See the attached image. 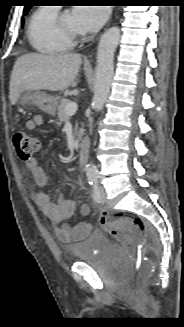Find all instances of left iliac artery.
Listing matches in <instances>:
<instances>
[{
	"label": "left iliac artery",
	"mask_w": 184,
	"mask_h": 327,
	"mask_svg": "<svg viewBox=\"0 0 184 327\" xmlns=\"http://www.w3.org/2000/svg\"><path fill=\"white\" fill-rule=\"evenodd\" d=\"M89 184L93 188V195L92 196H93L94 201L99 202L100 192H99L98 180L96 178L95 179H90Z\"/></svg>",
	"instance_id": "obj_1"
}]
</instances>
